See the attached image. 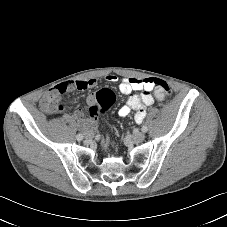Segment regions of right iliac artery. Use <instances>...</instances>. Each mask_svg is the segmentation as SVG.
<instances>
[{"label": "right iliac artery", "instance_id": "1", "mask_svg": "<svg viewBox=\"0 0 227 227\" xmlns=\"http://www.w3.org/2000/svg\"><path fill=\"white\" fill-rule=\"evenodd\" d=\"M76 139L78 141H81L83 139V135L82 134H77Z\"/></svg>", "mask_w": 227, "mask_h": 227}]
</instances>
